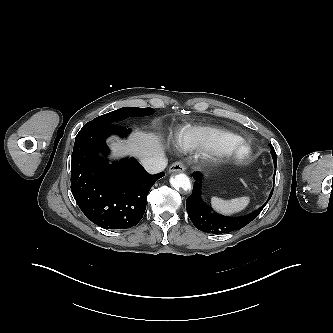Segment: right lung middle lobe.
Segmentation results:
<instances>
[{"mask_svg": "<svg viewBox=\"0 0 333 333\" xmlns=\"http://www.w3.org/2000/svg\"><path fill=\"white\" fill-rule=\"evenodd\" d=\"M155 112L153 108H135V107H124L110 113L101 115L94 120L90 121L91 123H116L118 121L124 120L132 116H148L152 115Z\"/></svg>", "mask_w": 333, "mask_h": 333, "instance_id": "right-lung-middle-lobe-1", "label": "right lung middle lobe"}]
</instances>
